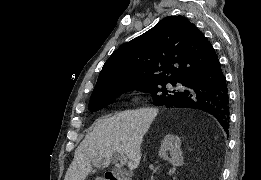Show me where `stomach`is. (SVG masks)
<instances>
[{"label":"stomach","mask_w":261,"mask_h":180,"mask_svg":"<svg viewBox=\"0 0 261 180\" xmlns=\"http://www.w3.org/2000/svg\"><path fill=\"white\" fill-rule=\"evenodd\" d=\"M96 180H103L102 178H97Z\"/></svg>","instance_id":"1"}]
</instances>
